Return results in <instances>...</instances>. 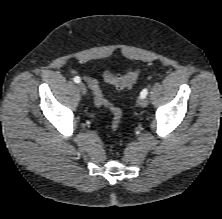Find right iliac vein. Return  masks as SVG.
Returning a JSON list of instances; mask_svg holds the SVG:
<instances>
[{"instance_id":"right-iliac-vein-1","label":"right iliac vein","mask_w":222,"mask_h":219,"mask_svg":"<svg viewBox=\"0 0 222 219\" xmlns=\"http://www.w3.org/2000/svg\"><path fill=\"white\" fill-rule=\"evenodd\" d=\"M78 88H79V90H80V92H81L82 94H86V93H87V88H86V86H85L84 83L80 82V83L78 84Z\"/></svg>"}]
</instances>
